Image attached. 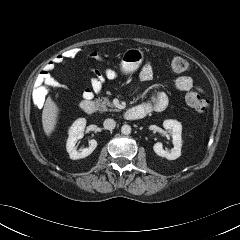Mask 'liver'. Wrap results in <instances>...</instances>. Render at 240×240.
<instances>
[{"instance_id":"obj_1","label":"liver","mask_w":240,"mask_h":240,"mask_svg":"<svg viewBox=\"0 0 240 240\" xmlns=\"http://www.w3.org/2000/svg\"><path fill=\"white\" fill-rule=\"evenodd\" d=\"M58 114L59 109L56 103L52 100L50 96H48L42 111L43 130L48 137L51 136V133L56 127Z\"/></svg>"}]
</instances>
